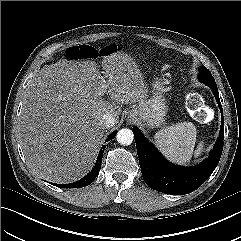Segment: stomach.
Masks as SVG:
<instances>
[{
  "instance_id": "stomach-1",
  "label": "stomach",
  "mask_w": 241,
  "mask_h": 241,
  "mask_svg": "<svg viewBox=\"0 0 241 241\" xmlns=\"http://www.w3.org/2000/svg\"><path fill=\"white\" fill-rule=\"evenodd\" d=\"M165 91V82L161 79L156 80L152 85L150 96L128 112V120L142 121L149 128L161 127L165 123L168 111Z\"/></svg>"
}]
</instances>
